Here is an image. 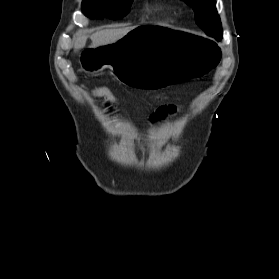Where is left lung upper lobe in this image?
Returning a JSON list of instances; mask_svg holds the SVG:
<instances>
[{
	"instance_id": "left-lung-upper-lobe-1",
	"label": "left lung upper lobe",
	"mask_w": 279,
	"mask_h": 279,
	"mask_svg": "<svg viewBox=\"0 0 279 279\" xmlns=\"http://www.w3.org/2000/svg\"><path fill=\"white\" fill-rule=\"evenodd\" d=\"M195 11L197 24L205 33L215 39L222 38L221 21L216 10L215 0H183Z\"/></svg>"
}]
</instances>
